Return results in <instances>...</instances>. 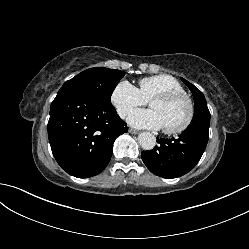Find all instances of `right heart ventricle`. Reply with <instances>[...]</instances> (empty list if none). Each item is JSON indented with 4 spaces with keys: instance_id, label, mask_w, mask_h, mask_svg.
<instances>
[{
    "instance_id": "1",
    "label": "right heart ventricle",
    "mask_w": 249,
    "mask_h": 249,
    "mask_svg": "<svg viewBox=\"0 0 249 249\" xmlns=\"http://www.w3.org/2000/svg\"><path fill=\"white\" fill-rule=\"evenodd\" d=\"M138 91L145 101H149L158 94L184 91V88L176 78L159 74L142 78L139 81Z\"/></svg>"
}]
</instances>
